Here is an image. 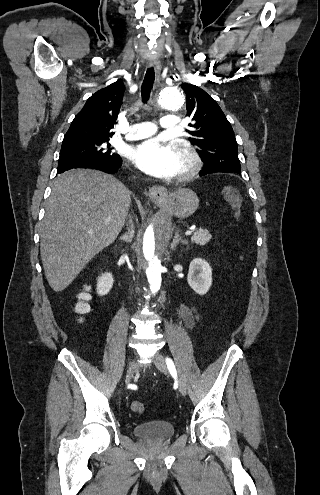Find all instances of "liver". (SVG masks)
<instances>
[{"mask_svg":"<svg viewBox=\"0 0 320 495\" xmlns=\"http://www.w3.org/2000/svg\"><path fill=\"white\" fill-rule=\"evenodd\" d=\"M129 190L113 176L85 169L55 179L40 229L45 276L56 292L110 245L124 226Z\"/></svg>","mask_w":320,"mask_h":495,"instance_id":"1","label":"liver"}]
</instances>
